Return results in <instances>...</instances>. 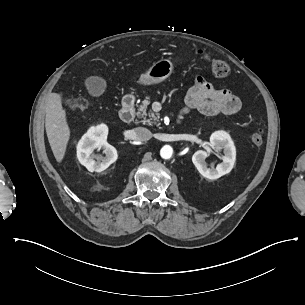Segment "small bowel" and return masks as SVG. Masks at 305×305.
<instances>
[{"instance_id": "obj_1", "label": "small bowel", "mask_w": 305, "mask_h": 305, "mask_svg": "<svg viewBox=\"0 0 305 305\" xmlns=\"http://www.w3.org/2000/svg\"><path fill=\"white\" fill-rule=\"evenodd\" d=\"M241 108L239 98L227 89L213 87L204 77L196 76L187 92L182 114L198 110L205 116L234 114Z\"/></svg>"}]
</instances>
